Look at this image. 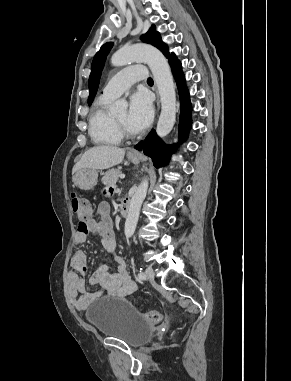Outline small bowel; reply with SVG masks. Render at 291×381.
Masks as SVG:
<instances>
[{
	"instance_id": "1",
	"label": "small bowel",
	"mask_w": 291,
	"mask_h": 381,
	"mask_svg": "<svg viewBox=\"0 0 291 381\" xmlns=\"http://www.w3.org/2000/svg\"><path fill=\"white\" fill-rule=\"evenodd\" d=\"M97 215L99 220L92 219L87 224L86 230H82L81 225H78L74 242L80 245L86 242L90 235H97L103 248L113 254L116 250V240L107 203H100L97 206ZM114 261L116 265L114 273H110L107 264H101L93 273L90 283L98 286L99 290L92 293L86 290L85 280L79 275L88 271L87 255L79 249L74 251L71 261L73 270L67 274V285L72 303L77 310H86L102 293L113 297H124L136 291L137 285L131 278L125 261L121 257H115Z\"/></svg>"
}]
</instances>
